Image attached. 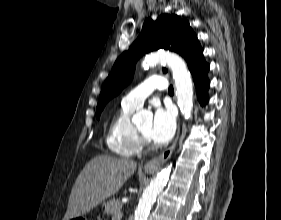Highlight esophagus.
<instances>
[{"label": "esophagus", "instance_id": "esophagus-1", "mask_svg": "<svg viewBox=\"0 0 281 220\" xmlns=\"http://www.w3.org/2000/svg\"><path fill=\"white\" fill-rule=\"evenodd\" d=\"M179 134H180V126L178 127V132H177V135H176V138H175L173 144L169 148L164 150L159 156L154 157L153 159L148 161L144 165L145 172L154 173L155 171L160 169L161 166L170 158L173 150L176 147V144H177V141L179 138Z\"/></svg>", "mask_w": 281, "mask_h": 220}]
</instances>
